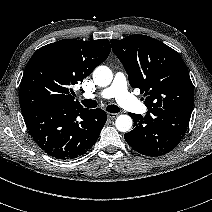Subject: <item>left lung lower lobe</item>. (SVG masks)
<instances>
[{
    "label": "left lung lower lobe",
    "mask_w": 212,
    "mask_h": 212,
    "mask_svg": "<svg viewBox=\"0 0 212 212\" xmlns=\"http://www.w3.org/2000/svg\"><path fill=\"white\" fill-rule=\"evenodd\" d=\"M134 129L124 134L127 143L138 153L158 157L172 151L183 138L191 112L149 108L146 116L129 113Z\"/></svg>",
    "instance_id": "1"
}]
</instances>
